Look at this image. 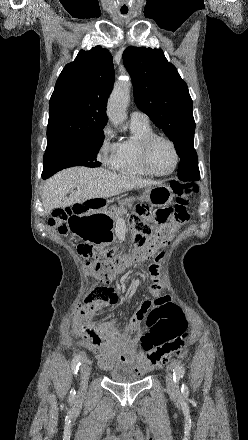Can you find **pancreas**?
<instances>
[{
    "label": "pancreas",
    "mask_w": 248,
    "mask_h": 440,
    "mask_svg": "<svg viewBox=\"0 0 248 440\" xmlns=\"http://www.w3.org/2000/svg\"><path fill=\"white\" fill-rule=\"evenodd\" d=\"M134 200H135L134 197H129L125 199L123 205H121L120 207L113 208V211L110 212V215L112 216L113 220L114 221L119 220L120 217L127 212V208H125L124 205L128 208H131Z\"/></svg>",
    "instance_id": "obj_1"
}]
</instances>
